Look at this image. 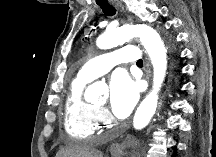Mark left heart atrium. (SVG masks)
<instances>
[{"label":"left heart atrium","instance_id":"left-heart-atrium-1","mask_svg":"<svg viewBox=\"0 0 216 157\" xmlns=\"http://www.w3.org/2000/svg\"><path fill=\"white\" fill-rule=\"evenodd\" d=\"M110 106L113 113L120 118L127 117L139 99V87L127 73H114L109 84Z\"/></svg>","mask_w":216,"mask_h":157}]
</instances>
